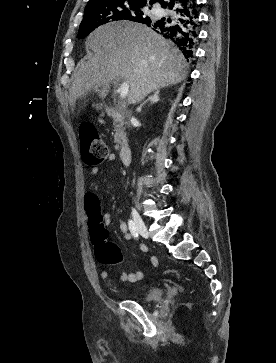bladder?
Segmentation results:
<instances>
[{"instance_id": "bladder-1", "label": "bladder", "mask_w": 276, "mask_h": 363, "mask_svg": "<svg viewBox=\"0 0 276 363\" xmlns=\"http://www.w3.org/2000/svg\"><path fill=\"white\" fill-rule=\"evenodd\" d=\"M163 297V289L161 287L150 288L142 298L143 302L159 301Z\"/></svg>"}]
</instances>
